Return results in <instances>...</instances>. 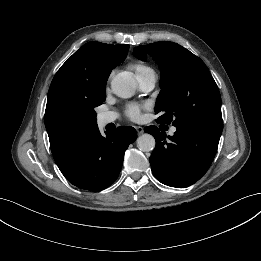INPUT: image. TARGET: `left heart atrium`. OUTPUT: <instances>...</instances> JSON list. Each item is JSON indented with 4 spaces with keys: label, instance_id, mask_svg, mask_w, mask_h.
<instances>
[{
    "label": "left heart atrium",
    "instance_id": "39dd6f15",
    "mask_svg": "<svg viewBox=\"0 0 261 261\" xmlns=\"http://www.w3.org/2000/svg\"><path fill=\"white\" fill-rule=\"evenodd\" d=\"M144 108L143 105L131 103L126 107V115L129 119L137 121L141 118V110Z\"/></svg>",
    "mask_w": 261,
    "mask_h": 261
}]
</instances>
